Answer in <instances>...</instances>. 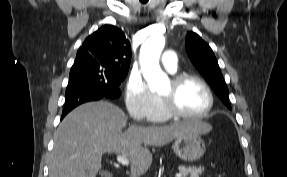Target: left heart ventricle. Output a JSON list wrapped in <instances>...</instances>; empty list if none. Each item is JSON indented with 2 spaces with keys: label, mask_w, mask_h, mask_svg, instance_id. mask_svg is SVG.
I'll return each mask as SVG.
<instances>
[{
  "label": "left heart ventricle",
  "mask_w": 287,
  "mask_h": 177,
  "mask_svg": "<svg viewBox=\"0 0 287 177\" xmlns=\"http://www.w3.org/2000/svg\"><path fill=\"white\" fill-rule=\"evenodd\" d=\"M172 90L169 82L160 92L161 95L170 93ZM177 108L188 114H200L208 105V96L204 88L195 81L185 83L175 97Z\"/></svg>",
  "instance_id": "obj_1"
}]
</instances>
